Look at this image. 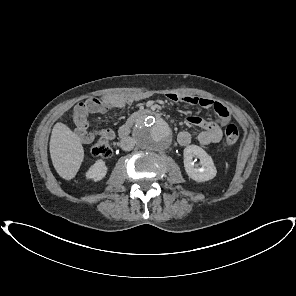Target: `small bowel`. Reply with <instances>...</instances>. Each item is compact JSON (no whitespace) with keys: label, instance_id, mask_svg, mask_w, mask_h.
Segmentation results:
<instances>
[{"label":"small bowel","instance_id":"c3829d8e","mask_svg":"<svg viewBox=\"0 0 296 296\" xmlns=\"http://www.w3.org/2000/svg\"><path fill=\"white\" fill-rule=\"evenodd\" d=\"M167 99L172 102H179L185 105L200 106L204 109H213L217 115L215 120H206L198 116H189L187 123L201 128L197 134L198 142L207 146L218 143L222 138V129L230 121V112L228 108L220 102L213 101L204 97L191 95L168 94ZM134 98L117 94L104 95L91 98L79 103L75 108V135L85 144L91 143L97 136L112 140L116 137V132L112 129H101L90 131L88 129V114H103L114 108H122L133 102ZM79 109H84L80 113ZM192 137L187 131H180L177 134V141L180 145L190 144Z\"/></svg>","mask_w":296,"mask_h":296}]
</instances>
